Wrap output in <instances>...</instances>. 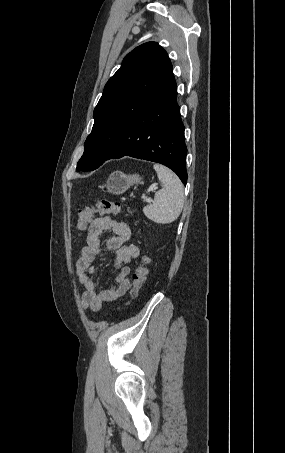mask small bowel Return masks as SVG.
<instances>
[{
    "label": "small bowel",
    "mask_w": 285,
    "mask_h": 453,
    "mask_svg": "<svg viewBox=\"0 0 285 453\" xmlns=\"http://www.w3.org/2000/svg\"><path fill=\"white\" fill-rule=\"evenodd\" d=\"M108 231L112 236L107 240L106 248L115 252L114 266L119 270V274L110 287L98 290V283L94 279L96 270L93 263L101 253L100 236ZM132 239V228L125 221L104 216L95 218L89 224L86 245L82 248L76 262V273L79 282L84 286L81 298L84 308L97 311L103 304L115 300L128 290L130 264L140 253L139 248L132 243Z\"/></svg>",
    "instance_id": "c3829d8e"
}]
</instances>
